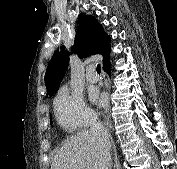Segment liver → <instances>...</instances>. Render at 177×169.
I'll list each match as a JSON object with an SVG mask.
<instances>
[{"label": "liver", "instance_id": "6515ba94", "mask_svg": "<svg viewBox=\"0 0 177 169\" xmlns=\"http://www.w3.org/2000/svg\"><path fill=\"white\" fill-rule=\"evenodd\" d=\"M102 149L90 131L70 137L56 153L51 169H101Z\"/></svg>", "mask_w": 177, "mask_h": 169}]
</instances>
